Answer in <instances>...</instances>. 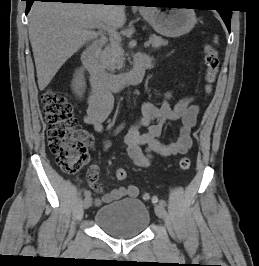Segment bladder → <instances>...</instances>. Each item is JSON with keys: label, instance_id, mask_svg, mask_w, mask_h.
Segmentation results:
<instances>
[{"label": "bladder", "instance_id": "bladder-1", "mask_svg": "<svg viewBox=\"0 0 259 266\" xmlns=\"http://www.w3.org/2000/svg\"><path fill=\"white\" fill-rule=\"evenodd\" d=\"M94 221L107 234L126 239L138 236L146 230L150 213L139 199H124L99 207Z\"/></svg>", "mask_w": 259, "mask_h": 266}]
</instances>
